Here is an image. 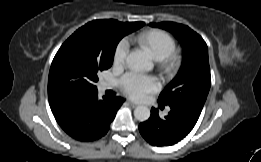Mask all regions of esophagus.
<instances>
[{
  "label": "esophagus",
  "instance_id": "34e87169",
  "mask_svg": "<svg viewBox=\"0 0 261 162\" xmlns=\"http://www.w3.org/2000/svg\"><path fill=\"white\" fill-rule=\"evenodd\" d=\"M126 102H127L128 105H130V106L133 107V108L137 106V104L133 103V102L130 101V100H127Z\"/></svg>",
  "mask_w": 261,
  "mask_h": 162
}]
</instances>
